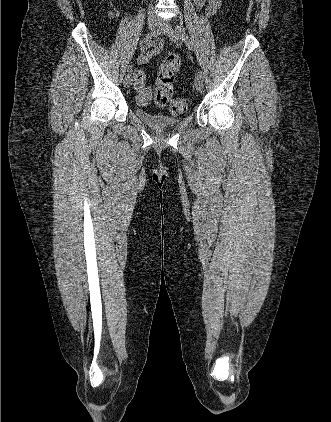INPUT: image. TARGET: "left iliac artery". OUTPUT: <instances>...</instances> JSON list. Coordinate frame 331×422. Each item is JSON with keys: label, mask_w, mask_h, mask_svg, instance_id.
Returning a JSON list of instances; mask_svg holds the SVG:
<instances>
[{"label": "left iliac artery", "mask_w": 331, "mask_h": 422, "mask_svg": "<svg viewBox=\"0 0 331 422\" xmlns=\"http://www.w3.org/2000/svg\"><path fill=\"white\" fill-rule=\"evenodd\" d=\"M176 31L179 33L180 38L185 42L186 46L192 50L191 42L186 34L184 28L180 25H176ZM198 75L203 78V72L201 70L198 71Z\"/></svg>", "instance_id": "44dca946"}]
</instances>
